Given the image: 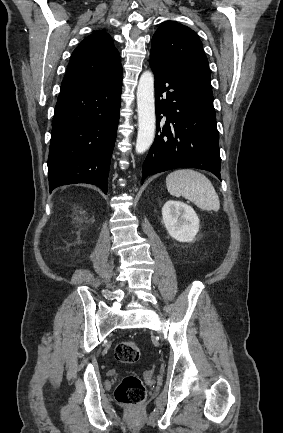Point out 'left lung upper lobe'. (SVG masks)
Here are the masks:
<instances>
[{
  "mask_svg": "<svg viewBox=\"0 0 283 433\" xmlns=\"http://www.w3.org/2000/svg\"><path fill=\"white\" fill-rule=\"evenodd\" d=\"M150 56L193 75L200 87L199 105L215 114L208 60L192 29L174 21L162 23L152 37Z\"/></svg>",
  "mask_w": 283,
  "mask_h": 433,
  "instance_id": "left-lung-upper-lobe-1",
  "label": "left lung upper lobe"
}]
</instances>
